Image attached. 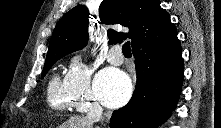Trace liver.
Returning a JSON list of instances; mask_svg holds the SVG:
<instances>
[{
  "label": "liver",
  "instance_id": "liver-1",
  "mask_svg": "<svg viewBox=\"0 0 221 128\" xmlns=\"http://www.w3.org/2000/svg\"><path fill=\"white\" fill-rule=\"evenodd\" d=\"M59 128H93V122L84 116H72Z\"/></svg>",
  "mask_w": 221,
  "mask_h": 128
}]
</instances>
